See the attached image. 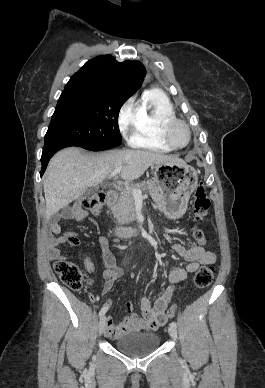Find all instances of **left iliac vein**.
I'll use <instances>...</instances> for the list:
<instances>
[{
	"instance_id": "4c4485c4",
	"label": "left iliac vein",
	"mask_w": 265,
	"mask_h": 388,
	"mask_svg": "<svg viewBox=\"0 0 265 388\" xmlns=\"http://www.w3.org/2000/svg\"><path fill=\"white\" fill-rule=\"evenodd\" d=\"M168 333L169 335L173 338V339H176L177 338V331L174 327L172 326H169L168 327Z\"/></svg>"
}]
</instances>
